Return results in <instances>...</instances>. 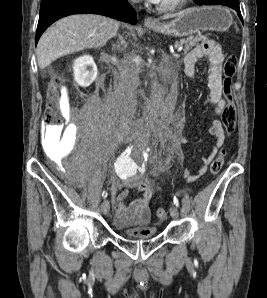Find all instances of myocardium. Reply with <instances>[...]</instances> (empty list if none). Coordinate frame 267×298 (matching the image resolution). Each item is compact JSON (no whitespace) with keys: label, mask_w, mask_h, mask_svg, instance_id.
<instances>
[{"label":"myocardium","mask_w":267,"mask_h":298,"mask_svg":"<svg viewBox=\"0 0 267 298\" xmlns=\"http://www.w3.org/2000/svg\"><path fill=\"white\" fill-rule=\"evenodd\" d=\"M188 0H175L168 4H158L157 9L161 12L171 13L180 10Z\"/></svg>","instance_id":"f54148a6"}]
</instances>
